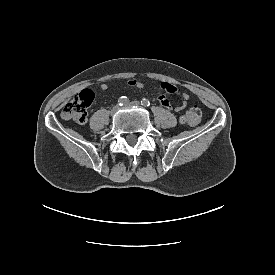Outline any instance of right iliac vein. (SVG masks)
Returning <instances> with one entry per match:
<instances>
[{
    "label": "right iliac vein",
    "instance_id": "right-iliac-vein-1",
    "mask_svg": "<svg viewBox=\"0 0 275 275\" xmlns=\"http://www.w3.org/2000/svg\"><path fill=\"white\" fill-rule=\"evenodd\" d=\"M118 110H119V106H117V105L114 106V107L112 108V110H111V114H112V115L116 114Z\"/></svg>",
    "mask_w": 275,
    "mask_h": 275
}]
</instances>
